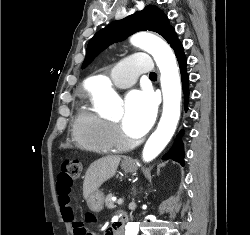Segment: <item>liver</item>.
Masks as SVG:
<instances>
[{
	"instance_id": "1",
	"label": "liver",
	"mask_w": 250,
	"mask_h": 235,
	"mask_svg": "<svg viewBox=\"0 0 250 235\" xmlns=\"http://www.w3.org/2000/svg\"><path fill=\"white\" fill-rule=\"evenodd\" d=\"M121 156H106L93 162L86 171L83 182V196L88 200L91 193L106 181L111 179L117 171Z\"/></svg>"
}]
</instances>
